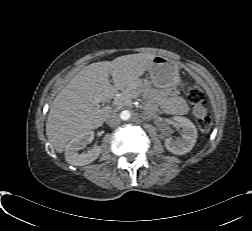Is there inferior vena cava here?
<instances>
[{
  "label": "inferior vena cava",
  "mask_w": 252,
  "mask_h": 231,
  "mask_svg": "<svg viewBox=\"0 0 252 231\" xmlns=\"http://www.w3.org/2000/svg\"><path fill=\"white\" fill-rule=\"evenodd\" d=\"M120 117L117 113H113L111 115L108 116V118L106 119V123L110 126V127H116L120 124Z\"/></svg>",
  "instance_id": "1"
}]
</instances>
